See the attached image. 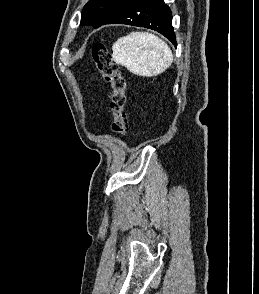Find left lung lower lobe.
Returning a JSON list of instances; mask_svg holds the SVG:
<instances>
[{
    "mask_svg": "<svg viewBox=\"0 0 259 294\" xmlns=\"http://www.w3.org/2000/svg\"><path fill=\"white\" fill-rule=\"evenodd\" d=\"M127 24L155 30L177 46L172 15L163 0H125L116 6L102 25Z\"/></svg>",
    "mask_w": 259,
    "mask_h": 294,
    "instance_id": "obj_1",
    "label": "left lung lower lobe"
}]
</instances>
